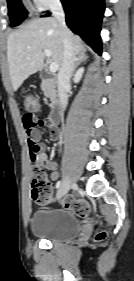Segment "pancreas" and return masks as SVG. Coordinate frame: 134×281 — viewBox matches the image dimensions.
Instances as JSON below:
<instances>
[{"label": "pancreas", "instance_id": "obj_1", "mask_svg": "<svg viewBox=\"0 0 134 281\" xmlns=\"http://www.w3.org/2000/svg\"><path fill=\"white\" fill-rule=\"evenodd\" d=\"M41 89L46 97H48L53 103L56 102V90L51 80H44L41 84Z\"/></svg>", "mask_w": 134, "mask_h": 281}]
</instances>
